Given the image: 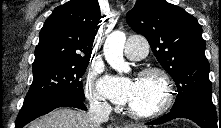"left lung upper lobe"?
<instances>
[{
    "instance_id": "obj_1",
    "label": "left lung upper lobe",
    "mask_w": 221,
    "mask_h": 128,
    "mask_svg": "<svg viewBox=\"0 0 221 128\" xmlns=\"http://www.w3.org/2000/svg\"><path fill=\"white\" fill-rule=\"evenodd\" d=\"M127 23L148 40L151 49L177 86L171 110L188 103H212L209 63L202 28L195 17L165 0H137Z\"/></svg>"
}]
</instances>
